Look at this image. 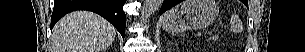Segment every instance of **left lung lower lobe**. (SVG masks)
Returning a JSON list of instances; mask_svg holds the SVG:
<instances>
[{
	"mask_svg": "<svg viewBox=\"0 0 305 52\" xmlns=\"http://www.w3.org/2000/svg\"><path fill=\"white\" fill-rule=\"evenodd\" d=\"M182 0H164L161 9L160 14H163L166 10L172 8L176 4L180 3Z\"/></svg>",
	"mask_w": 305,
	"mask_h": 52,
	"instance_id": "0a47b994",
	"label": "left lung lower lobe"
}]
</instances>
